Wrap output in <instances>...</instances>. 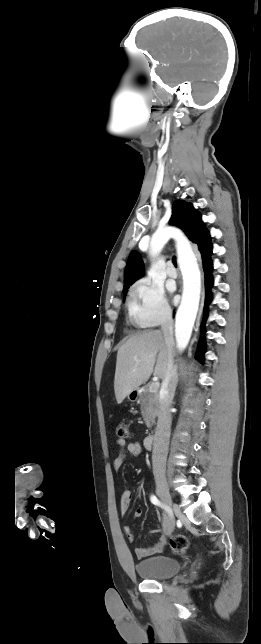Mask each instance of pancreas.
Returning <instances> with one entry per match:
<instances>
[{"instance_id":"cf45deb5","label":"pancreas","mask_w":261,"mask_h":644,"mask_svg":"<svg viewBox=\"0 0 261 644\" xmlns=\"http://www.w3.org/2000/svg\"><path fill=\"white\" fill-rule=\"evenodd\" d=\"M141 413L148 428H151L155 423V418L158 413V394L157 392H150L146 387L140 395Z\"/></svg>"}]
</instances>
